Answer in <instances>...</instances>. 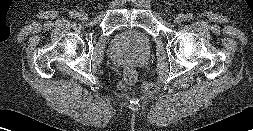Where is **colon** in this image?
<instances>
[{"instance_id":"5ec220e1","label":"colon","mask_w":253,"mask_h":131,"mask_svg":"<svg viewBox=\"0 0 253 131\" xmlns=\"http://www.w3.org/2000/svg\"><path fill=\"white\" fill-rule=\"evenodd\" d=\"M125 78L130 82L134 83L136 81V73L132 69H127L125 71Z\"/></svg>"}]
</instances>
